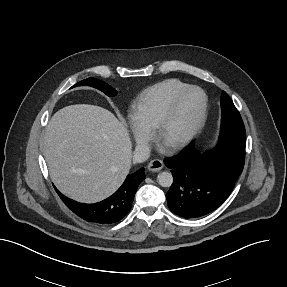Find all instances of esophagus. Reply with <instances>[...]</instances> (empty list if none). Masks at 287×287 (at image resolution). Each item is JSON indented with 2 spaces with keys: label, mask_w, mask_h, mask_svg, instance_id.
<instances>
[{
  "label": "esophagus",
  "mask_w": 287,
  "mask_h": 287,
  "mask_svg": "<svg viewBox=\"0 0 287 287\" xmlns=\"http://www.w3.org/2000/svg\"><path fill=\"white\" fill-rule=\"evenodd\" d=\"M163 168V162L159 159H154L150 161L147 166V169L152 172H157Z\"/></svg>",
  "instance_id": "34e87169"
}]
</instances>
